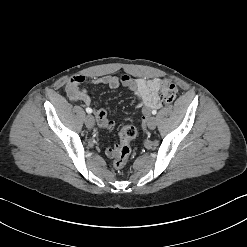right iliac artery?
<instances>
[{
	"instance_id": "1",
	"label": "right iliac artery",
	"mask_w": 247,
	"mask_h": 247,
	"mask_svg": "<svg viewBox=\"0 0 247 247\" xmlns=\"http://www.w3.org/2000/svg\"><path fill=\"white\" fill-rule=\"evenodd\" d=\"M86 112H87V113H92V109L89 108V107H87V108H86Z\"/></svg>"
}]
</instances>
